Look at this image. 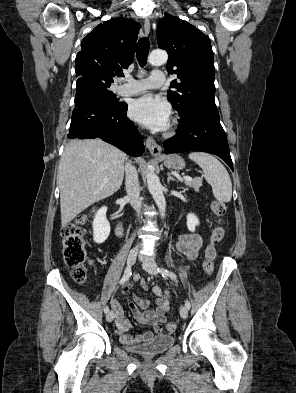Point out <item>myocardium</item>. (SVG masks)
I'll return each mask as SVG.
<instances>
[{
	"mask_svg": "<svg viewBox=\"0 0 296 393\" xmlns=\"http://www.w3.org/2000/svg\"><path fill=\"white\" fill-rule=\"evenodd\" d=\"M174 125H175V120L172 121L171 126H170V130H172V128L174 127Z\"/></svg>",
	"mask_w": 296,
	"mask_h": 393,
	"instance_id": "f54148a6",
	"label": "myocardium"
}]
</instances>
